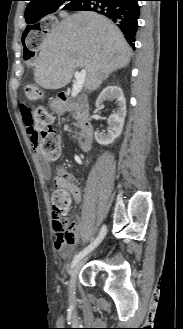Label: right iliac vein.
Here are the masks:
<instances>
[{
  "instance_id": "right-iliac-vein-1",
  "label": "right iliac vein",
  "mask_w": 183,
  "mask_h": 329,
  "mask_svg": "<svg viewBox=\"0 0 183 329\" xmlns=\"http://www.w3.org/2000/svg\"><path fill=\"white\" fill-rule=\"evenodd\" d=\"M87 259H88V257H85L84 259L80 260L72 271L70 282H69L70 299L74 298L77 275H78L81 267L83 266V264L87 261Z\"/></svg>"
}]
</instances>
